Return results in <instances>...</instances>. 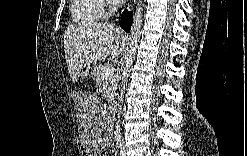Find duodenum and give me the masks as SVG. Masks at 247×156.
Here are the masks:
<instances>
[{
  "mask_svg": "<svg viewBox=\"0 0 247 156\" xmlns=\"http://www.w3.org/2000/svg\"><path fill=\"white\" fill-rule=\"evenodd\" d=\"M110 110L112 114H115L116 111V105L114 103V100H111Z\"/></svg>",
  "mask_w": 247,
  "mask_h": 156,
  "instance_id": "duodenum-1",
  "label": "duodenum"
}]
</instances>
